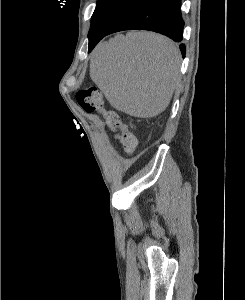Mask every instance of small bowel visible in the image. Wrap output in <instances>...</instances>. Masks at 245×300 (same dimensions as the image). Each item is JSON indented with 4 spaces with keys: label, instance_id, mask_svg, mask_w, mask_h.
I'll list each match as a JSON object with an SVG mask.
<instances>
[{
    "label": "small bowel",
    "instance_id": "obj_1",
    "mask_svg": "<svg viewBox=\"0 0 245 300\" xmlns=\"http://www.w3.org/2000/svg\"><path fill=\"white\" fill-rule=\"evenodd\" d=\"M115 140H119L121 138L120 132H117L114 136Z\"/></svg>",
    "mask_w": 245,
    "mask_h": 300
}]
</instances>
